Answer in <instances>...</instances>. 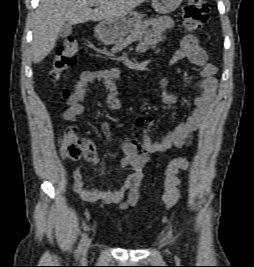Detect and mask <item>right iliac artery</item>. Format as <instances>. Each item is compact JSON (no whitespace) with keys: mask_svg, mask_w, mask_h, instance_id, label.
<instances>
[{"mask_svg":"<svg viewBox=\"0 0 254 267\" xmlns=\"http://www.w3.org/2000/svg\"><path fill=\"white\" fill-rule=\"evenodd\" d=\"M86 237H87L86 235H83V238H82V240L80 241V243H79V245L77 247V250H76V258L77 259L81 255L82 249H83V247L85 245V242H86Z\"/></svg>","mask_w":254,"mask_h":267,"instance_id":"82829eb1","label":"right iliac artery"}]
</instances>
